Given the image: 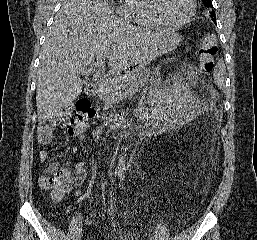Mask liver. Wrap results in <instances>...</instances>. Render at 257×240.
I'll list each match as a JSON object with an SVG mask.
<instances>
[{
    "label": "liver",
    "instance_id": "6515ba94",
    "mask_svg": "<svg viewBox=\"0 0 257 240\" xmlns=\"http://www.w3.org/2000/svg\"><path fill=\"white\" fill-rule=\"evenodd\" d=\"M116 17L103 0H65L46 36L37 72L40 120L57 115L82 92L80 73L108 55L112 75L134 65L164 35Z\"/></svg>",
    "mask_w": 257,
    "mask_h": 240
}]
</instances>
